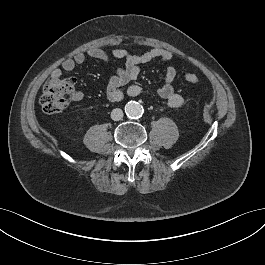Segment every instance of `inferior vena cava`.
Wrapping results in <instances>:
<instances>
[{
  "instance_id": "inferior-vena-cava-1",
  "label": "inferior vena cava",
  "mask_w": 265,
  "mask_h": 265,
  "mask_svg": "<svg viewBox=\"0 0 265 265\" xmlns=\"http://www.w3.org/2000/svg\"><path fill=\"white\" fill-rule=\"evenodd\" d=\"M123 111L119 108H115L112 110L111 112V118L114 120V121H119L123 118Z\"/></svg>"
}]
</instances>
